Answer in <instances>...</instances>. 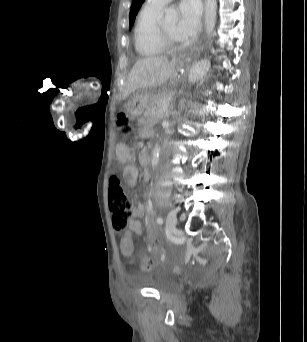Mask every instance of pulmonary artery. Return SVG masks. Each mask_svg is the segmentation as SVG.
<instances>
[{
	"label": "pulmonary artery",
	"instance_id": "obj_1",
	"mask_svg": "<svg viewBox=\"0 0 307 342\" xmlns=\"http://www.w3.org/2000/svg\"><path fill=\"white\" fill-rule=\"evenodd\" d=\"M170 2L172 1H146V5L148 9L160 12Z\"/></svg>",
	"mask_w": 307,
	"mask_h": 342
}]
</instances>
